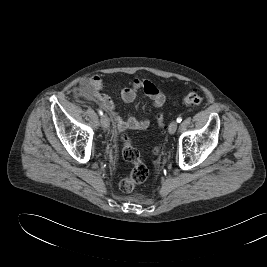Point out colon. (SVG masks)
<instances>
[{"instance_id": "1", "label": "colon", "mask_w": 267, "mask_h": 267, "mask_svg": "<svg viewBox=\"0 0 267 267\" xmlns=\"http://www.w3.org/2000/svg\"><path fill=\"white\" fill-rule=\"evenodd\" d=\"M203 102V98L196 92H191L182 98V103L188 106H199ZM157 122L162 128L164 126V114L157 115ZM122 140V156L132 164L131 170L120 181L119 187L123 192H131L137 185L143 183L148 177V169L140 158L139 151L132 146L128 132L121 136ZM160 146L153 149V153L157 154Z\"/></svg>"}]
</instances>
